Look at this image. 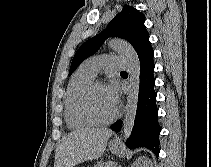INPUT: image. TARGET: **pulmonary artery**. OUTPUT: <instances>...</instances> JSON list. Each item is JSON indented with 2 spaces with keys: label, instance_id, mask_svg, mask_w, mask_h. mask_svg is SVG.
<instances>
[{
  "label": "pulmonary artery",
  "instance_id": "e3ab8cb5",
  "mask_svg": "<svg viewBox=\"0 0 211 167\" xmlns=\"http://www.w3.org/2000/svg\"><path fill=\"white\" fill-rule=\"evenodd\" d=\"M128 66L127 60L120 56L100 55L88 58L82 64L93 76H96L101 70H121Z\"/></svg>",
  "mask_w": 211,
  "mask_h": 167
}]
</instances>
